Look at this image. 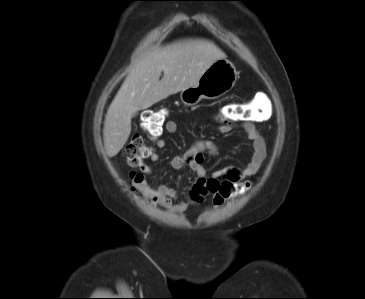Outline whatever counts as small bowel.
Returning a JSON list of instances; mask_svg holds the SVG:
<instances>
[{
	"instance_id": "obj_1",
	"label": "small bowel",
	"mask_w": 365,
	"mask_h": 299,
	"mask_svg": "<svg viewBox=\"0 0 365 299\" xmlns=\"http://www.w3.org/2000/svg\"><path fill=\"white\" fill-rule=\"evenodd\" d=\"M260 119L261 118L242 121L241 126L246 133V139L252 143L253 147V154L244 167L225 168L215 172L211 177H207L205 167L203 166L205 154L215 155L217 153L216 146L208 140L199 141L186 153L175 156L171 162L172 167L175 169L187 167L194 171L198 176L195 186H199L206 182H239L246 177L256 175L266 158V145L256 127V122ZM164 129L166 132L172 134L177 131L178 125L174 120H168L164 125ZM218 130L222 134L228 133L232 130V123L221 122L218 126ZM155 144L160 149H163L166 146L165 140L161 138L160 135L155 137ZM149 157L153 162L159 161L160 158L156 152H152ZM140 170L145 174H152L155 172V169L149 165H141ZM138 185L143 193L153 202L170 211L181 212L187 206V202L185 201H182L177 205L173 204V200L178 196L177 191L166 184L151 187L150 185L141 182Z\"/></svg>"
}]
</instances>
